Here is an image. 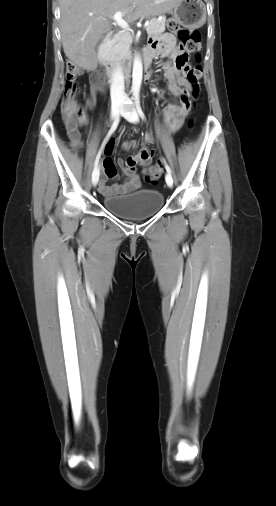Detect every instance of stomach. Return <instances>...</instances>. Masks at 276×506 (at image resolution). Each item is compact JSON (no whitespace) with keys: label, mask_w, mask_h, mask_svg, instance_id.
Segmentation results:
<instances>
[{"label":"stomach","mask_w":276,"mask_h":506,"mask_svg":"<svg viewBox=\"0 0 276 506\" xmlns=\"http://www.w3.org/2000/svg\"><path fill=\"white\" fill-rule=\"evenodd\" d=\"M172 14L179 24L198 28L206 21V6L202 0H181Z\"/></svg>","instance_id":"stomach-1"}]
</instances>
